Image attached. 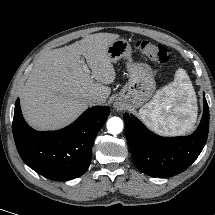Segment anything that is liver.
<instances>
[{
    "label": "liver",
    "instance_id": "obj_1",
    "mask_svg": "<svg viewBox=\"0 0 215 215\" xmlns=\"http://www.w3.org/2000/svg\"><path fill=\"white\" fill-rule=\"evenodd\" d=\"M118 38L117 34L96 33L42 53L21 96L26 121L38 130L60 129L88 108V97L96 95L106 101L111 93L107 85L116 78L107 48ZM81 56L91 75L83 70Z\"/></svg>",
    "mask_w": 215,
    "mask_h": 215
}]
</instances>
